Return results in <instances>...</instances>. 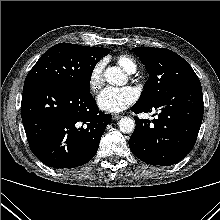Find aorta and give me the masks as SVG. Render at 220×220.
<instances>
[{
  "label": "aorta",
  "instance_id": "aorta-1",
  "mask_svg": "<svg viewBox=\"0 0 220 220\" xmlns=\"http://www.w3.org/2000/svg\"><path fill=\"white\" fill-rule=\"evenodd\" d=\"M104 77L107 83L111 85H124L127 82V77L121 68L112 66L106 68ZM119 129L122 133H132L135 129V121L130 117H123L119 121Z\"/></svg>",
  "mask_w": 220,
  "mask_h": 220
}]
</instances>
